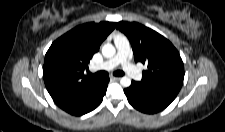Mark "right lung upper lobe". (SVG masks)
Wrapping results in <instances>:
<instances>
[{
	"label": "right lung upper lobe",
	"mask_w": 225,
	"mask_h": 132,
	"mask_svg": "<svg viewBox=\"0 0 225 132\" xmlns=\"http://www.w3.org/2000/svg\"><path fill=\"white\" fill-rule=\"evenodd\" d=\"M115 26L114 22L86 23L52 43L45 55L43 79L58 106L85 98L97 85L99 78L83 72Z\"/></svg>",
	"instance_id": "1"
}]
</instances>
